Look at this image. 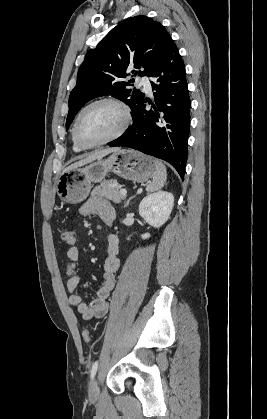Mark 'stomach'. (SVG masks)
Here are the masks:
<instances>
[{
    "mask_svg": "<svg viewBox=\"0 0 267 419\" xmlns=\"http://www.w3.org/2000/svg\"><path fill=\"white\" fill-rule=\"evenodd\" d=\"M108 172L141 183L153 176L155 163L151 157L137 151L119 149L107 158L64 171L56 184L58 196L67 203H80L89 195L91 184L104 180Z\"/></svg>",
    "mask_w": 267,
    "mask_h": 419,
    "instance_id": "0dacf381",
    "label": "stomach"
}]
</instances>
